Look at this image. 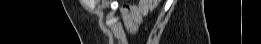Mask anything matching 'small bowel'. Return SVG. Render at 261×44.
I'll use <instances>...</instances> for the list:
<instances>
[{"instance_id":"obj_1","label":"small bowel","mask_w":261,"mask_h":44,"mask_svg":"<svg viewBox=\"0 0 261 44\" xmlns=\"http://www.w3.org/2000/svg\"><path fill=\"white\" fill-rule=\"evenodd\" d=\"M147 13V7L143 2L137 6H132L123 12L124 25L127 32H135L142 21V17Z\"/></svg>"}]
</instances>
